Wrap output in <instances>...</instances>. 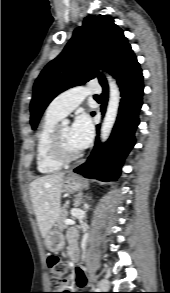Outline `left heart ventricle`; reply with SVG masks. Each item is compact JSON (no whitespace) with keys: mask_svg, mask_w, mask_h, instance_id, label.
I'll return each mask as SVG.
<instances>
[{"mask_svg":"<svg viewBox=\"0 0 170 293\" xmlns=\"http://www.w3.org/2000/svg\"><path fill=\"white\" fill-rule=\"evenodd\" d=\"M59 140H60L62 149L66 154H73L79 151V149H77L71 141L70 129L68 126H65V125L60 126Z\"/></svg>","mask_w":170,"mask_h":293,"instance_id":"1","label":"left heart ventricle"}]
</instances>
